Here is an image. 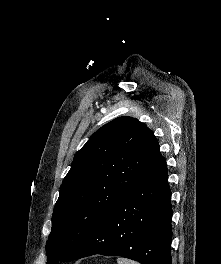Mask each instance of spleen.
Wrapping results in <instances>:
<instances>
[{
    "label": "spleen",
    "mask_w": 221,
    "mask_h": 264,
    "mask_svg": "<svg viewBox=\"0 0 221 264\" xmlns=\"http://www.w3.org/2000/svg\"><path fill=\"white\" fill-rule=\"evenodd\" d=\"M117 263L118 264H139V263H137L135 261H131V260L126 259V258H118L117 259Z\"/></svg>",
    "instance_id": "3e777b00"
}]
</instances>
